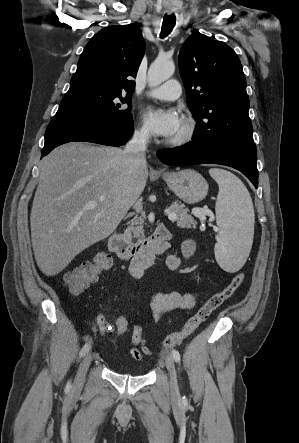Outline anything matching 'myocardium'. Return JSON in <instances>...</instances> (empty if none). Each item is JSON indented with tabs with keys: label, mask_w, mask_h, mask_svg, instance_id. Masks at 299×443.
Listing matches in <instances>:
<instances>
[{
	"label": "myocardium",
	"mask_w": 299,
	"mask_h": 443,
	"mask_svg": "<svg viewBox=\"0 0 299 443\" xmlns=\"http://www.w3.org/2000/svg\"><path fill=\"white\" fill-rule=\"evenodd\" d=\"M198 134V125L194 118L185 117L182 120L181 131L166 143L172 147H183L192 143Z\"/></svg>",
	"instance_id": "f54148a6"
}]
</instances>
